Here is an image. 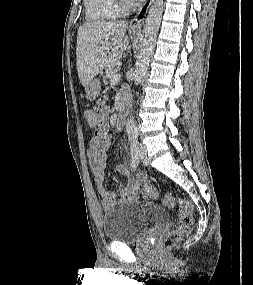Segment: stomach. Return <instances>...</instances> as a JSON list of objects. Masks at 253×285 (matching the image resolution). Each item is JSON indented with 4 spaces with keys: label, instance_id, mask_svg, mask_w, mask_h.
I'll return each mask as SVG.
<instances>
[{
    "label": "stomach",
    "instance_id": "obj_1",
    "mask_svg": "<svg viewBox=\"0 0 253 285\" xmlns=\"http://www.w3.org/2000/svg\"><path fill=\"white\" fill-rule=\"evenodd\" d=\"M101 83L99 79H92L85 87L86 96L89 99H94L99 96Z\"/></svg>",
    "mask_w": 253,
    "mask_h": 285
}]
</instances>
